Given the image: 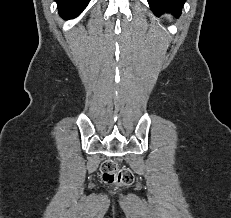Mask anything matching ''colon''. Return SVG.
<instances>
[{
    "mask_svg": "<svg viewBox=\"0 0 231 218\" xmlns=\"http://www.w3.org/2000/svg\"><path fill=\"white\" fill-rule=\"evenodd\" d=\"M104 183L117 186H130L134 182V175L129 168H119L113 159L105 160L100 166Z\"/></svg>",
    "mask_w": 231,
    "mask_h": 218,
    "instance_id": "1",
    "label": "colon"
}]
</instances>
